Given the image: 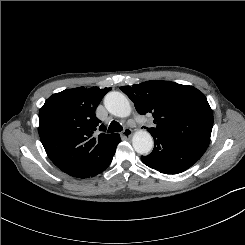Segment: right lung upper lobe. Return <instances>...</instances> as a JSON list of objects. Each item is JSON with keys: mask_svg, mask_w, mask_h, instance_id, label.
Returning <instances> with one entry per match:
<instances>
[{"mask_svg": "<svg viewBox=\"0 0 245 245\" xmlns=\"http://www.w3.org/2000/svg\"><path fill=\"white\" fill-rule=\"evenodd\" d=\"M111 88H75L53 94L39 111V136L50 160L66 174L90 178L105 168L119 134L94 137L95 110ZM100 131L106 128L101 125Z\"/></svg>", "mask_w": 245, "mask_h": 245, "instance_id": "obj_1", "label": "right lung upper lobe"}]
</instances>
